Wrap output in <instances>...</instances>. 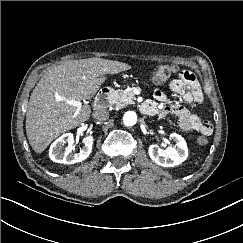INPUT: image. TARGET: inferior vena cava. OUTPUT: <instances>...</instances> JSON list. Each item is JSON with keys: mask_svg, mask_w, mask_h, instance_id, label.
<instances>
[{"mask_svg": "<svg viewBox=\"0 0 243 243\" xmlns=\"http://www.w3.org/2000/svg\"><path fill=\"white\" fill-rule=\"evenodd\" d=\"M93 117L97 121H105L109 117V111L105 108H99L94 112Z\"/></svg>", "mask_w": 243, "mask_h": 243, "instance_id": "obj_1", "label": "inferior vena cava"}]
</instances>
